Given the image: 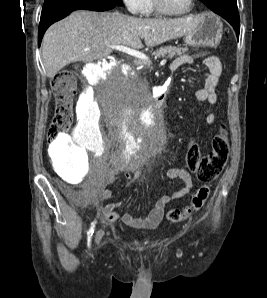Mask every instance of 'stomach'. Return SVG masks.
Segmentation results:
<instances>
[{"mask_svg": "<svg viewBox=\"0 0 267 298\" xmlns=\"http://www.w3.org/2000/svg\"><path fill=\"white\" fill-rule=\"evenodd\" d=\"M201 23L192 33L184 35V41L190 46H217L223 35V23L221 20L209 13L200 16Z\"/></svg>", "mask_w": 267, "mask_h": 298, "instance_id": "obj_1", "label": "stomach"}]
</instances>
